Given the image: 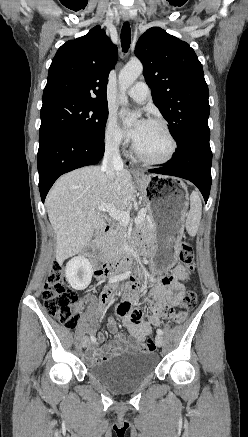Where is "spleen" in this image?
Returning a JSON list of instances; mask_svg holds the SVG:
<instances>
[{"mask_svg":"<svg viewBox=\"0 0 248 437\" xmlns=\"http://www.w3.org/2000/svg\"><path fill=\"white\" fill-rule=\"evenodd\" d=\"M202 215V203L199 197V194L196 191H193L190 196V210L187 214L186 219V230L190 236H195Z\"/></svg>","mask_w":248,"mask_h":437,"instance_id":"obj_1","label":"spleen"}]
</instances>
